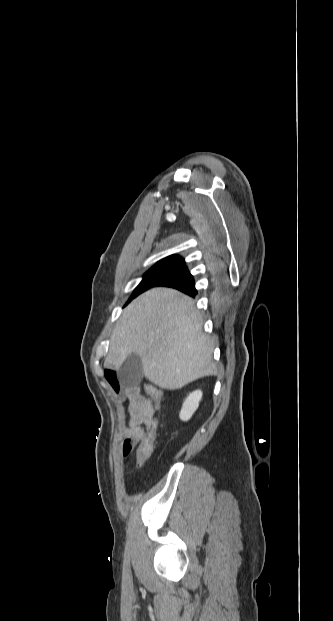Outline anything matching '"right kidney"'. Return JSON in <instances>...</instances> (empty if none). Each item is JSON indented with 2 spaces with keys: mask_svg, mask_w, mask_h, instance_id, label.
<instances>
[{
  "mask_svg": "<svg viewBox=\"0 0 333 621\" xmlns=\"http://www.w3.org/2000/svg\"><path fill=\"white\" fill-rule=\"evenodd\" d=\"M202 398V391L195 390L189 394L185 399L179 417L182 421H188L199 406V402Z\"/></svg>",
  "mask_w": 333,
  "mask_h": 621,
  "instance_id": "1",
  "label": "right kidney"
}]
</instances>
